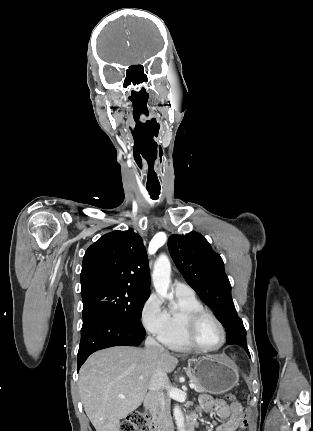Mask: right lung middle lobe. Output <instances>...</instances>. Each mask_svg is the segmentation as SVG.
<instances>
[{"instance_id": "right-lung-middle-lobe-1", "label": "right lung middle lobe", "mask_w": 313, "mask_h": 431, "mask_svg": "<svg viewBox=\"0 0 313 431\" xmlns=\"http://www.w3.org/2000/svg\"><path fill=\"white\" fill-rule=\"evenodd\" d=\"M149 293L131 287H113L82 297L83 320L96 313L114 315L123 321L143 329L140 321L142 309Z\"/></svg>"}]
</instances>
